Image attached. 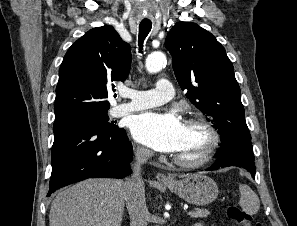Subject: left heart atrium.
I'll use <instances>...</instances> for the list:
<instances>
[{
	"mask_svg": "<svg viewBox=\"0 0 297 226\" xmlns=\"http://www.w3.org/2000/svg\"><path fill=\"white\" fill-rule=\"evenodd\" d=\"M184 124L174 113L146 112L131 122L133 137L160 152H176L182 143Z\"/></svg>",
	"mask_w": 297,
	"mask_h": 226,
	"instance_id": "obj_1",
	"label": "left heart atrium"
}]
</instances>
